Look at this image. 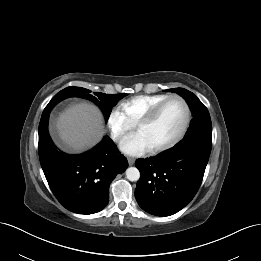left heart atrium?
<instances>
[{
	"instance_id": "obj_1",
	"label": "left heart atrium",
	"mask_w": 261,
	"mask_h": 261,
	"mask_svg": "<svg viewBox=\"0 0 261 261\" xmlns=\"http://www.w3.org/2000/svg\"><path fill=\"white\" fill-rule=\"evenodd\" d=\"M122 152L132 156L142 155L150 150V147L142 134L135 133L124 138L120 143Z\"/></svg>"
}]
</instances>
